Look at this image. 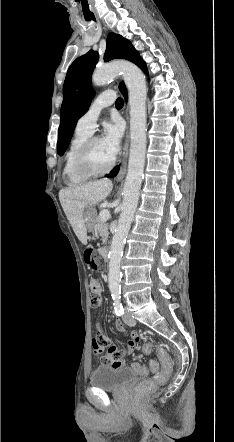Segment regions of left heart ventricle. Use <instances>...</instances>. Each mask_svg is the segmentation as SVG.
Instances as JSON below:
<instances>
[{
	"instance_id": "left-heart-ventricle-1",
	"label": "left heart ventricle",
	"mask_w": 234,
	"mask_h": 442,
	"mask_svg": "<svg viewBox=\"0 0 234 442\" xmlns=\"http://www.w3.org/2000/svg\"><path fill=\"white\" fill-rule=\"evenodd\" d=\"M113 157L105 149L101 139L94 142L91 149V163L95 169L106 168Z\"/></svg>"
}]
</instances>
